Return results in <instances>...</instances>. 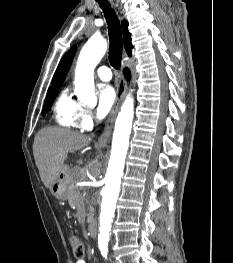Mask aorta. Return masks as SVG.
<instances>
[{
  "instance_id": "762f6f07",
  "label": "aorta",
  "mask_w": 233,
  "mask_h": 263,
  "mask_svg": "<svg viewBox=\"0 0 233 263\" xmlns=\"http://www.w3.org/2000/svg\"><path fill=\"white\" fill-rule=\"evenodd\" d=\"M107 42L101 37H91L82 48L75 70V93L83 103L95 99L94 68L104 56ZM134 117L133 98L128 95L115 122L111 156L107 169L106 183L102 189L100 227L98 245L103 255H107L111 224L114 217L116 202L120 192L121 177L129 146V136Z\"/></svg>"
}]
</instances>
